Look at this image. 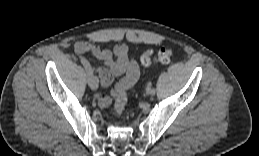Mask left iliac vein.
I'll return each instance as SVG.
<instances>
[{"instance_id": "4c4485c4", "label": "left iliac vein", "mask_w": 259, "mask_h": 156, "mask_svg": "<svg viewBox=\"0 0 259 156\" xmlns=\"http://www.w3.org/2000/svg\"><path fill=\"white\" fill-rule=\"evenodd\" d=\"M151 90H152V88L146 89V93H147L148 95H152Z\"/></svg>"}]
</instances>
